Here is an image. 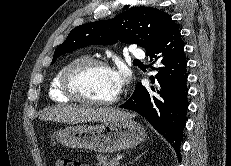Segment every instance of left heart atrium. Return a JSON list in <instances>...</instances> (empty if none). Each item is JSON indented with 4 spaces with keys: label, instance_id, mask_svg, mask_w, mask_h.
I'll return each instance as SVG.
<instances>
[{
    "label": "left heart atrium",
    "instance_id": "39dd6f15",
    "mask_svg": "<svg viewBox=\"0 0 231 166\" xmlns=\"http://www.w3.org/2000/svg\"><path fill=\"white\" fill-rule=\"evenodd\" d=\"M112 73H113L115 88L119 93L128 82L129 79L128 73L124 69L112 71Z\"/></svg>",
    "mask_w": 231,
    "mask_h": 166
}]
</instances>
